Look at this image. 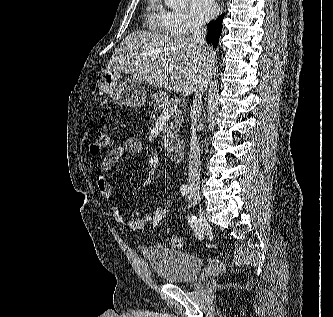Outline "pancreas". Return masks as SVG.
Returning a JSON list of instances; mask_svg holds the SVG:
<instances>
[{
    "instance_id": "pancreas-1",
    "label": "pancreas",
    "mask_w": 333,
    "mask_h": 317,
    "mask_svg": "<svg viewBox=\"0 0 333 317\" xmlns=\"http://www.w3.org/2000/svg\"><path fill=\"white\" fill-rule=\"evenodd\" d=\"M150 105L154 106V111L160 112L165 105L171 103V99L166 92L158 91L151 95ZM182 114L181 112L175 113L171 119L168 121L165 131L162 135L163 145L168 144L171 140L177 137L179 132V127L182 125Z\"/></svg>"
}]
</instances>
